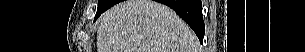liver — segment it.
Returning a JSON list of instances; mask_svg holds the SVG:
<instances>
[{
    "label": "liver",
    "instance_id": "obj_1",
    "mask_svg": "<svg viewBox=\"0 0 305 52\" xmlns=\"http://www.w3.org/2000/svg\"><path fill=\"white\" fill-rule=\"evenodd\" d=\"M193 31L169 7L126 0L98 21L97 52H198Z\"/></svg>",
    "mask_w": 305,
    "mask_h": 52
}]
</instances>
